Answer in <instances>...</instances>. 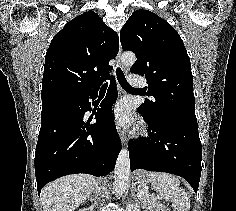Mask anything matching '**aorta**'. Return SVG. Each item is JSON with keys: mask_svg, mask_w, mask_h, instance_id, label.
I'll use <instances>...</instances> for the list:
<instances>
[{"mask_svg": "<svg viewBox=\"0 0 236 211\" xmlns=\"http://www.w3.org/2000/svg\"><path fill=\"white\" fill-rule=\"evenodd\" d=\"M136 61V56L133 52H125L121 56V63L124 66L131 67ZM130 175V157L127 148H122L120 151L114 170V191L116 195H122L126 189L128 178Z\"/></svg>", "mask_w": 236, "mask_h": 211, "instance_id": "aorta-1", "label": "aorta"}]
</instances>
